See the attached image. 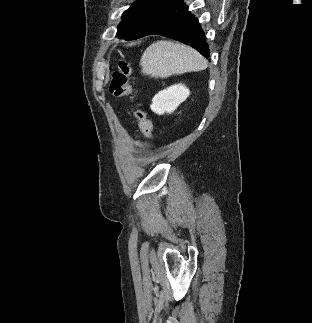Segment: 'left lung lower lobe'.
I'll list each match as a JSON object with an SVG mask.
<instances>
[{
	"label": "left lung lower lobe",
	"mask_w": 312,
	"mask_h": 323,
	"mask_svg": "<svg viewBox=\"0 0 312 323\" xmlns=\"http://www.w3.org/2000/svg\"><path fill=\"white\" fill-rule=\"evenodd\" d=\"M161 35L192 46L206 58L210 50L198 19L188 11L183 0H173L171 11L157 21L146 35ZM145 35V36H146Z\"/></svg>",
	"instance_id": "1"
}]
</instances>
